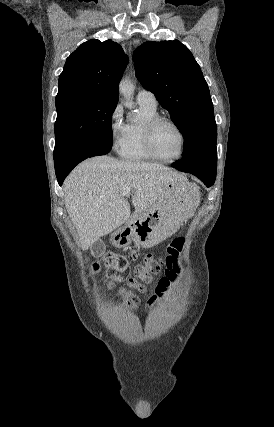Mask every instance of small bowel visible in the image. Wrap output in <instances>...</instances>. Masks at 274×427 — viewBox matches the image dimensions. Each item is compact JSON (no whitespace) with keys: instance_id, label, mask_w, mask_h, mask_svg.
Here are the masks:
<instances>
[{"instance_id":"c3829d8e","label":"small bowel","mask_w":274,"mask_h":427,"mask_svg":"<svg viewBox=\"0 0 274 427\" xmlns=\"http://www.w3.org/2000/svg\"><path fill=\"white\" fill-rule=\"evenodd\" d=\"M169 254H167L166 259L169 262L175 260V255L172 253L183 252L185 247L183 245L170 244L167 247ZM177 265H172L170 269L165 271V277L161 278L154 289L149 293L147 298L144 300L142 304V309L147 310L151 306L157 303H161L167 300L170 297L169 288L173 284V276L174 273L178 271Z\"/></svg>"}]
</instances>
